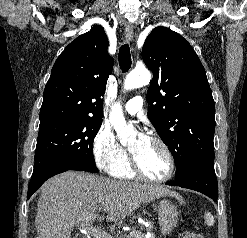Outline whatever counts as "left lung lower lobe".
<instances>
[{
  "label": "left lung lower lobe",
  "instance_id": "left-lung-lower-lobe-1",
  "mask_svg": "<svg viewBox=\"0 0 247 238\" xmlns=\"http://www.w3.org/2000/svg\"><path fill=\"white\" fill-rule=\"evenodd\" d=\"M168 184L201 192L217 201L218 184L213 164H194L182 177Z\"/></svg>",
  "mask_w": 247,
  "mask_h": 238
}]
</instances>
